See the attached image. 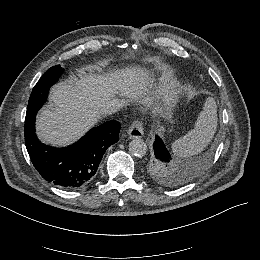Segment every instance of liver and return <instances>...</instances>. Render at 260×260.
Returning <instances> with one entry per match:
<instances>
[{"label":"liver","mask_w":260,"mask_h":260,"mask_svg":"<svg viewBox=\"0 0 260 260\" xmlns=\"http://www.w3.org/2000/svg\"><path fill=\"white\" fill-rule=\"evenodd\" d=\"M78 75L79 78L72 77L55 85L50 95L51 106L40 112L38 130L44 141L59 144L75 139L94 125L103 113L102 104L112 99L118 90L131 97L141 86L129 72L96 77L91 69H82ZM161 82L159 91H164L168 103L167 96L175 92L167 90L169 87L163 79Z\"/></svg>","instance_id":"1"}]
</instances>
